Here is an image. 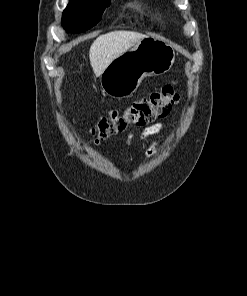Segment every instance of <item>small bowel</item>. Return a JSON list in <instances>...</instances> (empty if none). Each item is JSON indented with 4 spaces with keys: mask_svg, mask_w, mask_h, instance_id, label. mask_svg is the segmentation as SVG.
Instances as JSON below:
<instances>
[{
    "mask_svg": "<svg viewBox=\"0 0 247 296\" xmlns=\"http://www.w3.org/2000/svg\"><path fill=\"white\" fill-rule=\"evenodd\" d=\"M163 129V125L158 123V124H155V125H152L148 128H146L142 134H141V138L142 139H145L147 137H150L152 135H155L157 134L158 132H160L161 130ZM135 134L134 133H131L129 135V141H131L133 138H134ZM159 149V142H154L150 148L148 149V152H147V156L149 158L153 157L156 155L157 151Z\"/></svg>",
    "mask_w": 247,
    "mask_h": 296,
    "instance_id": "obj_1",
    "label": "small bowel"
}]
</instances>
